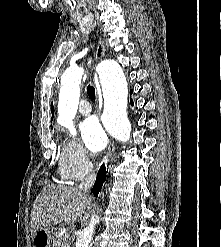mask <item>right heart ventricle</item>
<instances>
[{
  "mask_svg": "<svg viewBox=\"0 0 221 247\" xmlns=\"http://www.w3.org/2000/svg\"><path fill=\"white\" fill-rule=\"evenodd\" d=\"M60 176H61V178H63V179H67V177L64 176V175H62L61 173H60Z\"/></svg>",
  "mask_w": 221,
  "mask_h": 247,
  "instance_id": "1",
  "label": "right heart ventricle"
}]
</instances>
